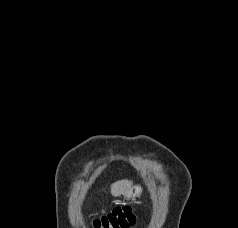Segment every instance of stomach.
<instances>
[{"label":"stomach","instance_id":"stomach-1","mask_svg":"<svg viewBox=\"0 0 238 228\" xmlns=\"http://www.w3.org/2000/svg\"><path fill=\"white\" fill-rule=\"evenodd\" d=\"M143 192V189L139 185L130 186L124 193L123 196L126 199H134L135 197H139Z\"/></svg>","mask_w":238,"mask_h":228}]
</instances>
